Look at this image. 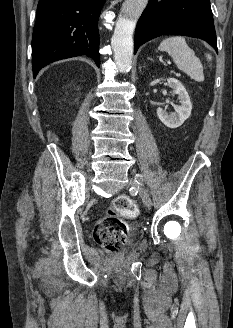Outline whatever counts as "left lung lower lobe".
I'll return each instance as SVG.
<instances>
[{
	"instance_id": "left-lung-lower-lobe-1",
	"label": "left lung lower lobe",
	"mask_w": 233,
	"mask_h": 328,
	"mask_svg": "<svg viewBox=\"0 0 233 328\" xmlns=\"http://www.w3.org/2000/svg\"><path fill=\"white\" fill-rule=\"evenodd\" d=\"M174 34L200 38L217 50L209 0H149L138 20L134 54L144 42Z\"/></svg>"
}]
</instances>
